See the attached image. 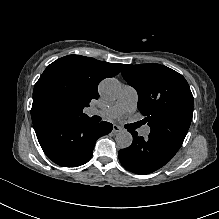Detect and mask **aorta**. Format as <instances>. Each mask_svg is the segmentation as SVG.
Here are the masks:
<instances>
[{
  "label": "aorta",
  "instance_id": "1",
  "mask_svg": "<svg viewBox=\"0 0 219 219\" xmlns=\"http://www.w3.org/2000/svg\"><path fill=\"white\" fill-rule=\"evenodd\" d=\"M101 95L107 99H116L121 91V84L115 78L104 79L99 85ZM116 143L120 148H127L132 144L133 137L128 131H120L116 135Z\"/></svg>",
  "mask_w": 219,
  "mask_h": 219
}]
</instances>
